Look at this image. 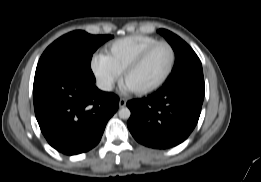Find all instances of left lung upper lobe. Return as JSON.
Segmentation results:
<instances>
[{"label": "left lung upper lobe", "instance_id": "5c2ea615", "mask_svg": "<svg viewBox=\"0 0 261 182\" xmlns=\"http://www.w3.org/2000/svg\"><path fill=\"white\" fill-rule=\"evenodd\" d=\"M175 51V65L161 89H170L180 83L194 78H203L201 61L193 49L180 37L172 32L159 29Z\"/></svg>", "mask_w": 261, "mask_h": 182}]
</instances>
